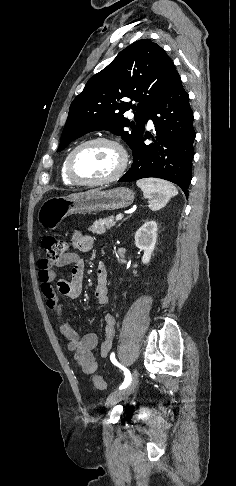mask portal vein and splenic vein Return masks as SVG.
Here are the masks:
<instances>
[{"label": "portal vein and splenic vein", "mask_w": 236, "mask_h": 486, "mask_svg": "<svg viewBox=\"0 0 236 486\" xmlns=\"http://www.w3.org/2000/svg\"><path fill=\"white\" fill-rule=\"evenodd\" d=\"M122 218H123V215L122 214H118L116 216V221H120Z\"/></svg>", "instance_id": "1"}]
</instances>
